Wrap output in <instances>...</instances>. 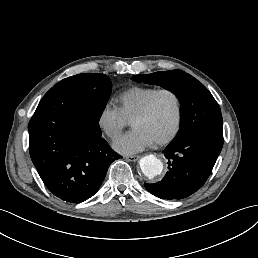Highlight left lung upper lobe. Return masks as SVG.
<instances>
[{"label":"left lung upper lobe","mask_w":258,"mask_h":258,"mask_svg":"<svg viewBox=\"0 0 258 258\" xmlns=\"http://www.w3.org/2000/svg\"><path fill=\"white\" fill-rule=\"evenodd\" d=\"M136 82L156 84L173 92L180 101V130L170 144L184 142L205 131L223 132L221 110L208 89L193 76L181 71L135 75Z\"/></svg>","instance_id":"5c2ea615"}]
</instances>
